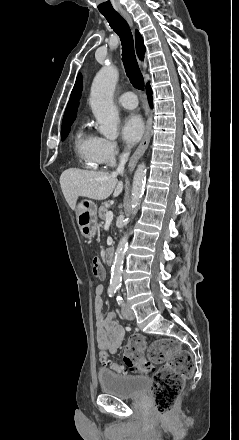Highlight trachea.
<instances>
[{
    "label": "trachea",
    "mask_w": 239,
    "mask_h": 440,
    "mask_svg": "<svg viewBox=\"0 0 239 440\" xmlns=\"http://www.w3.org/2000/svg\"><path fill=\"white\" fill-rule=\"evenodd\" d=\"M102 15H104L111 28L120 37L122 42V61L130 83L138 90H143L145 82L137 63L134 39L128 23L118 12L105 13Z\"/></svg>",
    "instance_id": "obj_1"
}]
</instances>
